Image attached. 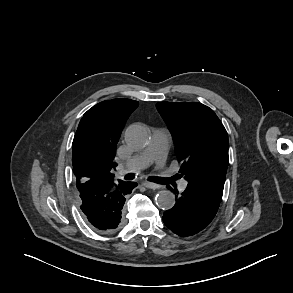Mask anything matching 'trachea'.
I'll return each mask as SVG.
<instances>
[{
  "mask_svg": "<svg viewBox=\"0 0 293 293\" xmlns=\"http://www.w3.org/2000/svg\"><path fill=\"white\" fill-rule=\"evenodd\" d=\"M126 180H132L134 178V175L133 174H127L125 177H124ZM152 179H156L158 180L157 178H152ZM162 180V179H160Z\"/></svg>",
  "mask_w": 293,
  "mask_h": 293,
  "instance_id": "1",
  "label": "trachea"
}]
</instances>
